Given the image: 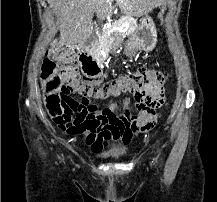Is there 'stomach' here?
<instances>
[{
    "instance_id": "1",
    "label": "stomach",
    "mask_w": 217,
    "mask_h": 202,
    "mask_svg": "<svg viewBox=\"0 0 217 202\" xmlns=\"http://www.w3.org/2000/svg\"><path fill=\"white\" fill-rule=\"evenodd\" d=\"M156 44V26L150 16H145V18L140 20V24L134 34L127 40L125 44V54L126 56H135L138 50L152 52Z\"/></svg>"
}]
</instances>
